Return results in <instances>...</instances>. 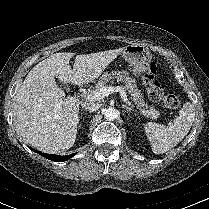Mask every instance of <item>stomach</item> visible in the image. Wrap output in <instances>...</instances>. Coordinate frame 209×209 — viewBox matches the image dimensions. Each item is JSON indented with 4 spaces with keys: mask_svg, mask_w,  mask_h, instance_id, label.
Instances as JSON below:
<instances>
[{
    "mask_svg": "<svg viewBox=\"0 0 209 209\" xmlns=\"http://www.w3.org/2000/svg\"><path fill=\"white\" fill-rule=\"evenodd\" d=\"M122 53L135 75L144 73L149 69L152 54L147 47L140 44H131L126 46Z\"/></svg>",
    "mask_w": 209,
    "mask_h": 209,
    "instance_id": "0dacf381",
    "label": "stomach"
}]
</instances>
